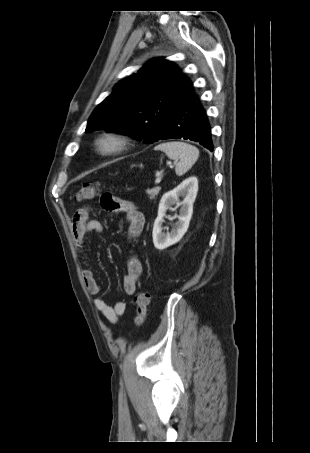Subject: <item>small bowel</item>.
Wrapping results in <instances>:
<instances>
[{
  "instance_id": "1",
  "label": "small bowel",
  "mask_w": 310,
  "mask_h": 453,
  "mask_svg": "<svg viewBox=\"0 0 310 453\" xmlns=\"http://www.w3.org/2000/svg\"><path fill=\"white\" fill-rule=\"evenodd\" d=\"M125 214L127 222V239L133 244L140 236L145 225L144 214L131 202L114 198V204L109 209ZM91 208L88 206L78 209L72 218V234L78 250L84 260L87 259L85 252L86 237L89 232H102L103 226L97 220L90 218ZM142 273V263L135 253H131L127 259V273L123 279L124 291L128 295H133L137 289V283ZM84 284L88 292L97 295L100 292V284L90 269L82 271ZM94 306L110 323H116L124 315L126 304L122 301L110 306L104 299L95 298Z\"/></svg>"
}]
</instances>
